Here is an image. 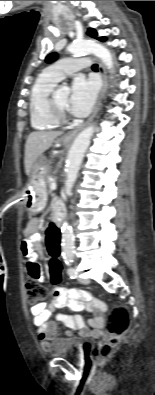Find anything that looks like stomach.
<instances>
[{"mask_svg": "<svg viewBox=\"0 0 155 395\" xmlns=\"http://www.w3.org/2000/svg\"><path fill=\"white\" fill-rule=\"evenodd\" d=\"M67 143L65 139L62 140ZM48 173V167L40 162L34 164L30 174L29 182L24 189L26 208L31 213L40 212L46 205L47 190L45 176Z\"/></svg>", "mask_w": 155, "mask_h": 395, "instance_id": "1", "label": "stomach"}]
</instances>
